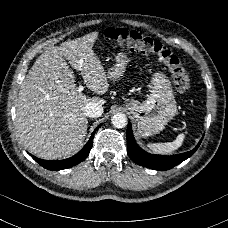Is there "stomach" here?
I'll list each match as a JSON object with an SVG mask.
<instances>
[{
    "label": "stomach",
    "instance_id": "obj_1",
    "mask_svg": "<svg viewBox=\"0 0 228 228\" xmlns=\"http://www.w3.org/2000/svg\"><path fill=\"white\" fill-rule=\"evenodd\" d=\"M132 61L130 53L126 50L117 52L114 67L108 73L109 78L117 80L122 77ZM124 107L135 118L138 130L143 136L161 132L177 112L170 78L164 73H154L150 80V93L145 101L128 102Z\"/></svg>",
    "mask_w": 228,
    "mask_h": 228
}]
</instances>
